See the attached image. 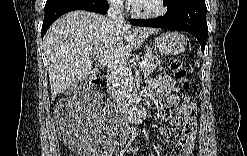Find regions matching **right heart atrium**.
Returning <instances> with one entry per match:
<instances>
[{
    "label": "right heart atrium",
    "instance_id": "1",
    "mask_svg": "<svg viewBox=\"0 0 247 156\" xmlns=\"http://www.w3.org/2000/svg\"><path fill=\"white\" fill-rule=\"evenodd\" d=\"M110 4L115 9H122L124 2L122 0H112Z\"/></svg>",
    "mask_w": 247,
    "mask_h": 156
}]
</instances>
